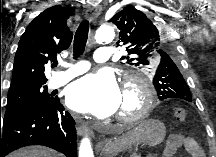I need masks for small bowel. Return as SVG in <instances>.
I'll list each match as a JSON object with an SVG mask.
<instances>
[{
  "instance_id": "small-bowel-1",
  "label": "small bowel",
  "mask_w": 216,
  "mask_h": 157,
  "mask_svg": "<svg viewBox=\"0 0 216 157\" xmlns=\"http://www.w3.org/2000/svg\"><path fill=\"white\" fill-rule=\"evenodd\" d=\"M178 148H184L192 157H204L203 150L193 137L179 134H173L169 137L162 156L172 157Z\"/></svg>"
}]
</instances>
